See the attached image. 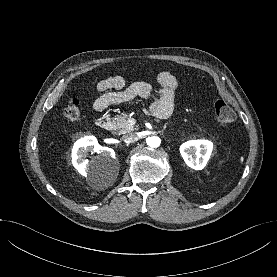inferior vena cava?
<instances>
[{"mask_svg": "<svg viewBox=\"0 0 277 277\" xmlns=\"http://www.w3.org/2000/svg\"><path fill=\"white\" fill-rule=\"evenodd\" d=\"M123 139L126 143H133L138 140V135L136 133H129L123 135Z\"/></svg>", "mask_w": 277, "mask_h": 277, "instance_id": "inferior-vena-cava-1", "label": "inferior vena cava"}]
</instances>
